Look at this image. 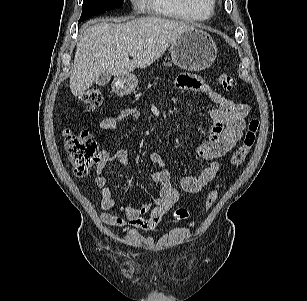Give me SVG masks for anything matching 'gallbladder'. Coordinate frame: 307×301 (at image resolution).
<instances>
[{
    "mask_svg": "<svg viewBox=\"0 0 307 301\" xmlns=\"http://www.w3.org/2000/svg\"><path fill=\"white\" fill-rule=\"evenodd\" d=\"M111 80V74L107 72H103L98 76V78L95 80V84L98 86H103L106 85L110 82Z\"/></svg>",
    "mask_w": 307,
    "mask_h": 301,
    "instance_id": "1",
    "label": "gallbladder"
}]
</instances>
